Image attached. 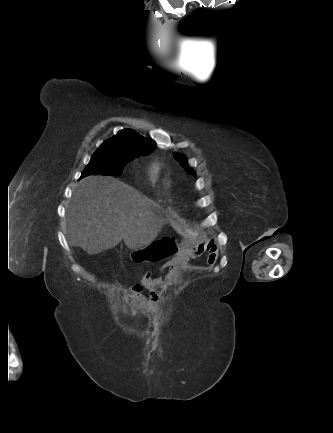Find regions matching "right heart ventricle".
<instances>
[{
  "instance_id": "right-heart-ventricle-1",
  "label": "right heart ventricle",
  "mask_w": 333,
  "mask_h": 433,
  "mask_svg": "<svg viewBox=\"0 0 333 433\" xmlns=\"http://www.w3.org/2000/svg\"><path fill=\"white\" fill-rule=\"evenodd\" d=\"M146 173L148 180L152 185H156L161 181L165 182L162 178L161 164L158 161L149 163L146 167Z\"/></svg>"
}]
</instances>
